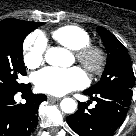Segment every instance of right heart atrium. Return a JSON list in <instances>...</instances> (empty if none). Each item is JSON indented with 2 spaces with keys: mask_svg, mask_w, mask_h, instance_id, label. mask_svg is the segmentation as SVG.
<instances>
[{
  "mask_svg": "<svg viewBox=\"0 0 136 136\" xmlns=\"http://www.w3.org/2000/svg\"><path fill=\"white\" fill-rule=\"evenodd\" d=\"M47 48V40L40 32L31 33L24 41L23 60L29 69L41 65Z\"/></svg>",
  "mask_w": 136,
  "mask_h": 136,
  "instance_id": "obj_1",
  "label": "right heart atrium"
}]
</instances>
